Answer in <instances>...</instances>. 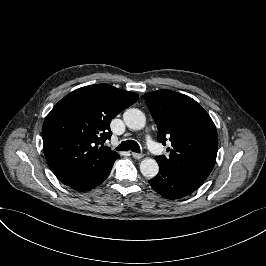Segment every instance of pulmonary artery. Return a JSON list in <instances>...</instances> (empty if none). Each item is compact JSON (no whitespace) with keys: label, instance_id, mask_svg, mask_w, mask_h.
Listing matches in <instances>:
<instances>
[{"label":"pulmonary artery","instance_id":"pulmonary-artery-1","mask_svg":"<svg viewBox=\"0 0 266 266\" xmlns=\"http://www.w3.org/2000/svg\"><path fill=\"white\" fill-rule=\"evenodd\" d=\"M145 144L148 150H150L151 153L158 155L160 154L162 147L159 144H155L153 137L148 136L145 139Z\"/></svg>","mask_w":266,"mask_h":266}]
</instances>
